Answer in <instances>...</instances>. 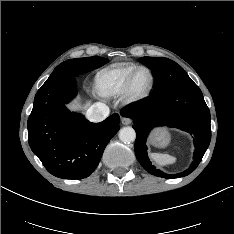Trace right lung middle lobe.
Listing matches in <instances>:
<instances>
[{
  "instance_id": "1",
  "label": "right lung middle lobe",
  "mask_w": 234,
  "mask_h": 234,
  "mask_svg": "<svg viewBox=\"0 0 234 234\" xmlns=\"http://www.w3.org/2000/svg\"><path fill=\"white\" fill-rule=\"evenodd\" d=\"M107 62V58H101L99 56L71 59L59 64L54 71L65 70L77 76L99 68Z\"/></svg>"
}]
</instances>
